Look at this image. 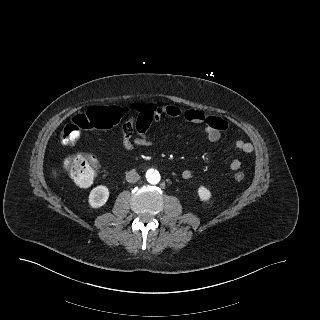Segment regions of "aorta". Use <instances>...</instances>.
<instances>
[{"instance_id": "obj_1", "label": "aorta", "mask_w": 320, "mask_h": 320, "mask_svg": "<svg viewBox=\"0 0 320 320\" xmlns=\"http://www.w3.org/2000/svg\"><path fill=\"white\" fill-rule=\"evenodd\" d=\"M146 178L150 184H157L159 183L161 177L158 171H154L153 169H150L146 173Z\"/></svg>"}]
</instances>
